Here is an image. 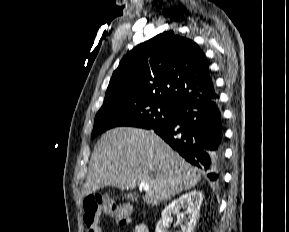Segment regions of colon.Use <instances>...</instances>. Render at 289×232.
Wrapping results in <instances>:
<instances>
[{"label": "colon", "mask_w": 289, "mask_h": 232, "mask_svg": "<svg viewBox=\"0 0 289 232\" xmlns=\"http://www.w3.org/2000/svg\"><path fill=\"white\" fill-rule=\"evenodd\" d=\"M101 214L113 216L120 224H126L129 211L123 206H117L99 195L88 196L83 202V224L85 232H102L99 225Z\"/></svg>", "instance_id": "colon-1"}]
</instances>
